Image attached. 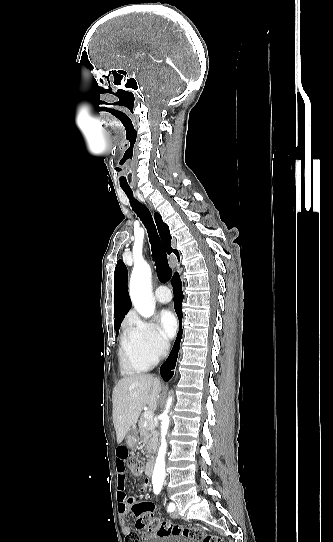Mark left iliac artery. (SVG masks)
Wrapping results in <instances>:
<instances>
[{
	"instance_id": "44dca946",
	"label": "left iliac artery",
	"mask_w": 333,
	"mask_h": 542,
	"mask_svg": "<svg viewBox=\"0 0 333 542\" xmlns=\"http://www.w3.org/2000/svg\"><path fill=\"white\" fill-rule=\"evenodd\" d=\"M162 482L153 483V489L155 494H159L162 489ZM175 510V505L173 503H170L168 506V511L173 512Z\"/></svg>"
}]
</instances>
